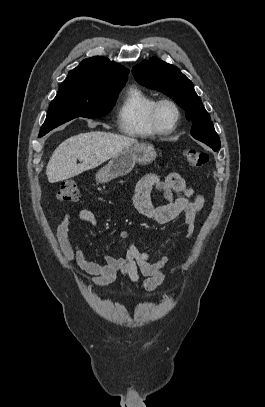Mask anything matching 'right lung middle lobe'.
Instances as JSON below:
<instances>
[{
  "label": "right lung middle lobe",
  "mask_w": 265,
  "mask_h": 407,
  "mask_svg": "<svg viewBox=\"0 0 265 407\" xmlns=\"http://www.w3.org/2000/svg\"><path fill=\"white\" fill-rule=\"evenodd\" d=\"M125 84L101 81H63L51 102L39 135L77 117L97 118L108 114Z\"/></svg>",
  "instance_id": "right-lung-middle-lobe-1"
}]
</instances>
